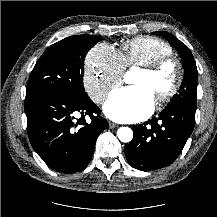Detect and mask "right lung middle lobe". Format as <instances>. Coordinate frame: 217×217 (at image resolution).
Instances as JSON below:
<instances>
[{"mask_svg": "<svg viewBox=\"0 0 217 217\" xmlns=\"http://www.w3.org/2000/svg\"><path fill=\"white\" fill-rule=\"evenodd\" d=\"M101 40L99 36L75 35L50 46L35 64L26 88V97L39 94H66L82 99L84 59Z\"/></svg>", "mask_w": 217, "mask_h": 217, "instance_id": "1", "label": "right lung middle lobe"}]
</instances>
